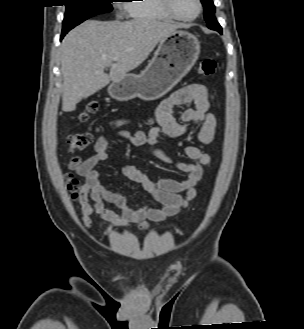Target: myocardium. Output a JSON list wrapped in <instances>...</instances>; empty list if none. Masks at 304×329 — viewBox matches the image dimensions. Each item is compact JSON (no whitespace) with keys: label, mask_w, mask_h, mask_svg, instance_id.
I'll list each match as a JSON object with an SVG mask.
<instances>
[{"label":"myocardium","mask_w":304,"mask_h":329,"mask_svg":"<svg viewBox=\"0 0 304 329\" xmlns=\"http://www.w3.org/2000/svg\"><path fill=\"white\" fill-rule=\"evenodd\" d=\"M196 1L198 3L197 13L192 17H184V16L179 15L178 13H176V11L174 10V8L172 6V0H161L164 9L170 15V17L173 18V19H176V20H181V21H193V20L197 19L200 16V14L203 11V3H202L201 0H196Z\"/></svg>","instance_id":"obj_1"}]
</instances>
